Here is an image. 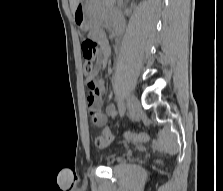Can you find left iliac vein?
<instances>
[{
    "mask_svg": "<svg viewBox=\"0 0 223 191\" xmlns=\"http://www.w3.org/2000/svg\"><path fill=\"white\" fill-rule=\"evenodd\" d=\"M127 108H128V113L132 118H135L138 114V112L141 109L140 102L137 97L134 95L130 94L127 97Z\"/></svg>",
    "mask_w": 223,
    "mask_h": 191,
    "instance_id": "1",
    "label": "left iliac vein"
}]
</instances>
